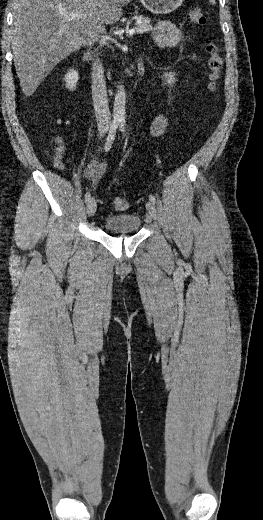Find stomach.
Instances as JSON below:
<instances>
[{
	"mask_svg": "<svg viewBox=\"0 0 263 520\" xmlns=\"http://www.w3.org/2000/svg\"><path fill=\"white\" fill-rule=\"evenodd\" d=\"M184 0H141L142 5L158 15L168 14L181 6Z\"/></svg>",
	"mask_w": 263,
	"mask_h": 520,
	"instance_id": "1",
	"label": "stomach"
}]
</instances>
